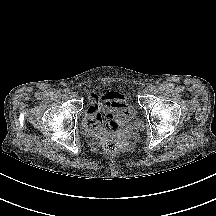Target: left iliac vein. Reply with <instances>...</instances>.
<instances>
[{"label":"left iliac vein","mask_w":216,"mask_h":216,"mask_svg":"<svg viewBox=\"0 0 216 216\" xmlns=\"http://www.w3.org/2000/svg\"><path fill=\"white\" fill-rule=\"evenodd\" d=\"M150 93V88H145L144 90H143V94L144 95H147V94H149Z\"/></svg>","instance_id":"left-iliac-vein-1"}]
</instances>
